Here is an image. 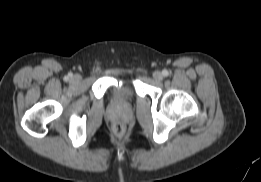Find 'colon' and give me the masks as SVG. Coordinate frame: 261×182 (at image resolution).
<instances>
[{
    "label": "colon",
    "mask_w": 261,
    "mask_h": 182,
    "mask_svg": "<svg viewBox=\"0 0 261 182\" xmlns=\"http://www.w3.org/2000/svg\"><path fill=\"white\" fill-rule=\"evenodd\" d=\"M115 133L118 135H122L124 133V126L122 124H116L114 127Z\"/></svg>",
    "instance_id": "obj_1"
}]
</instances>
